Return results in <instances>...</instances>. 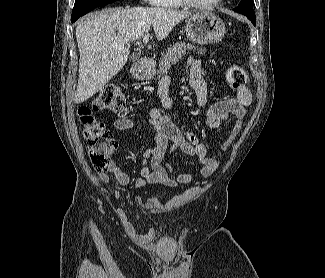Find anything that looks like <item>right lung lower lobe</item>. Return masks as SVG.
Wrapping results in <instances>:
<instances>
[{"instance_id":"obj_1","label":"right lung lower lobe","mask_w":325,"mask_h":278,"mask_svg":"<svg viewBox=\"0 0 325 278\" xmlns=\"http://www.w3.org/2000/svg\"><path fill=\"white\" fill-rule=\"evenodd\" d=\"M81 6V2L79 4V7ZM97 7H100V6H97V5H92L84 10H76V5H74V8H73V12H72V22H75L79 17L85 15L86 13L90 12L91 10L97 8Z\"/></svg>"}]
</instances>
